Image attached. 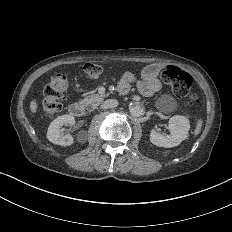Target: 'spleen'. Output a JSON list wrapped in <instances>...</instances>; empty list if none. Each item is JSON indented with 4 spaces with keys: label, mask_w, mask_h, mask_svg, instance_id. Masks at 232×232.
Wrapping results in <instances>:
<instances>
[{
    "label": "spleen",
    "mask_w": 232,
    "mask_h": 232,
    "mask_svg": "<svg viewBox=\"0 0 232 232\" xmlns=\"http://www.w3.org/2000/svg\"><path fill=\"white\" fill-rule=\"evenodd\" d=\"M199 130H200V128L198 127V128L196 129V132H199Z\"/></svg>",
    "instance_id": "3e777b00"
}]
</instances>
